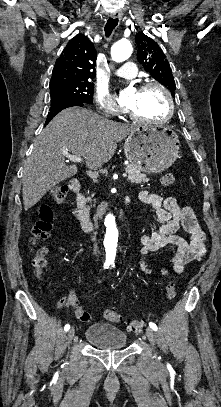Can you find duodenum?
<instances>
[{
	"instance_id": "410a0bca",
	"label": "duodenum",
	"mask_w": 221,
	"mask_h": 407,
	"mask_svg": "<svg viewBox=\"0 0 221 407\" xmlns=\"http://www.w3.org/2000/svg\"><path fill=\"white\" fill-rule=\"evenodd\" d=\"M70 189L74 195V209L73 214L77 220H79L87 231H90L94 227L93 220L90 213L84 208V198L82 195L81 183L73 182L70 184ZM125 204L128 203V197L124 198Z\"/></svg>"
}]
</instances>
